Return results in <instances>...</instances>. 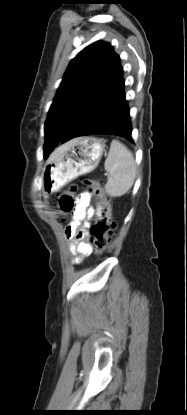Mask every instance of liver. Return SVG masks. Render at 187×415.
Returning <instances> with one entry per match:
<instances>
[{"label": "liver", "instance_id": "obj_1", "mask_svg": "<svg viewBox=\"0 0 187 415\" xmlns=\"http://www.w3.org/2000/svg\"><path fill=\"white\" fill-rule=\"evenodd\" d=\"M71 145V141L60 146L59 148H57L50 156L49 161L55 159L56 157H58L62 152H64L66 149H68Z\"/></svg>", "mask_w": 187, "mask_h": 415}]
</instances>
